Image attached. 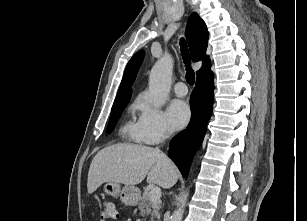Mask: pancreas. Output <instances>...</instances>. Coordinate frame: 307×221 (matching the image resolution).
<instances>
[{
  "label": "pancreas",
  "mask_w": 307,
  "mask_h": 221,
  "mask_svg": "<svg viewBox=\"0 0 307 221\" xmlns=\"http://www.w3.org/2000/svg\"><path fill=\"white\" fill-rule=\"evenodd\" d=\"M161 207V202L157 201V202H152L149 198V193H144L138 208L140 210V214L141 216H150V221H159L160 219V210Z\"/></svg>",
  "instance_id": "1"
}]
</instances>
